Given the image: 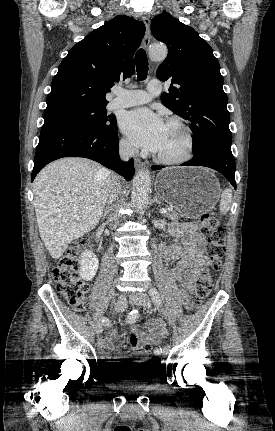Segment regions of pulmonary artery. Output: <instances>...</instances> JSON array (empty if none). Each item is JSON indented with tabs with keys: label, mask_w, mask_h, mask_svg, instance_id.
<instances>
[{
	"label": "pulmonary artery",
	"mask_w": 275,
	"mask_h": 431,
	"mask_svg": "<svg viewBox=\"0 0 275 431\" xmlns=\"http://www.w3.org/2000/svg\"><path fill=\"white\" fill-rule=\"evenodd\" d=\"M160 92L161 83L158 80H151L146 90L117 89L115 91L116 98L110 102L109 108H124L144 104L158 96Z\"/></svg>",
	"instance_id": "1"
}]
</instances>
